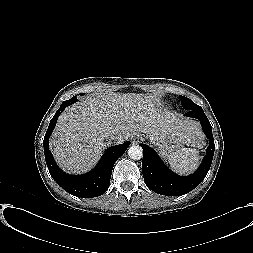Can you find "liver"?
Here are the masks:
<instances>
[{
  "instance_id": "liver-1",
  "label": "liver",
  "mask_w": 253,
  "mask_h": 253,
  "mask_svg": "<svg viewBox=\"0 0 253 253\" xmlns=\"http://www.w3.org/2000/svg\"><path fill=\"white\" fill-rule=\"evenodd\" d=\"M142 132L157 144L166 136L199 146L204 135L200 124L161 107L152 95L114 92L84 97L58 118L50 149L58 165L69 173H84L112 144L111 134L123 141ZM122 141V142H123Z\"/></svg>"
}]
</instances>
